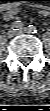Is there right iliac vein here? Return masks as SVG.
<instances>
[{"label":"right iliac vein","instance_id":"right-iliac-vein-1","mask_svg":"<svg viewBox=\"0 0 50 111\" xmlns=\"http://www.w3.org/2000/svg\"><path fill=\"white\" fill-rule=\"evenodd\" d=\"M15 35V31L14 30H10L7 32V37L8 38H12Z\"/></svg>","mask_w":50,"mask_h":111}]
</instances>
